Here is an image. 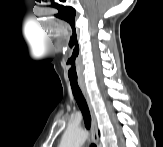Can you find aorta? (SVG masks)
I'll return each instance as SVG.
<instances>
[{"label":"aorta","mask_w":163,"mask_h":147,"mask_svg":"<svg viewBox=\"0 0 163 147\" xmlns=\"http://www.w3.org/2000/svg\"><path fill=\"white\" fill-rule=\"evenodd\" d=\"M86 139L87 134L83 129L69 127L61 139L60 147H81Z\"/></svg>","instance_id":"762f6f07"}]
</instances>
